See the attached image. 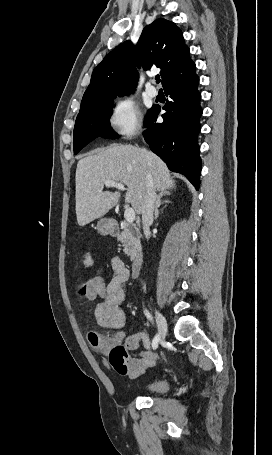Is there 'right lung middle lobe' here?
<instances>
[{
    "mask_svg": "<svg viewBox=\"0 0 272 455\" xmlns=\"http://www.w3.org/2000/svg\"><path fill=\"white\" fill-rule=\"evenodd\" d=\"M112 109L113 101H109L78 114L74 127V154H77L83 147L97 137L106 139L118 138V135L114 133L109 124ZM151 110L152 108L148 110L146 119Z\"/></svg>",
    "mask_w": 272,
    "mask_h": 455,
    "instance_id": "right-lung-middle-lobe-1",
    "label": "right lung middle lobe"
}]
</instances>
